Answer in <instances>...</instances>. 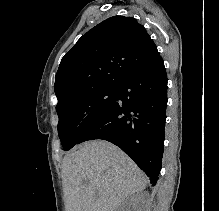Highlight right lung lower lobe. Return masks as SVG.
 I'll list each match as a JSON object with an SVG mask.
<instances>
[{
  "mask_svg": "<svg viewBox=\"0 0 219 211\" xmlns=\"http://www.w3.org/2000/svg\"><path fill=\"white\" fill-rule=\"evenodd\" d=\"M115 100L80 137L107 140L127 153L155 184L161 169L167 75L161 56L115 86Z\"/></svg>",
  "mask_w": 219,
  "mask_h": 211,
  "instance_id": "obj_1",
  "label": "right lung lower lobe"
}]
</instances>
